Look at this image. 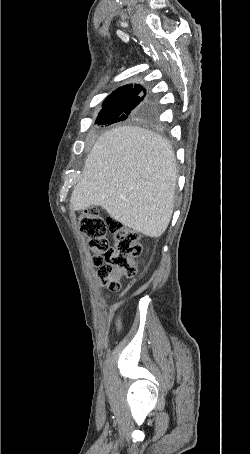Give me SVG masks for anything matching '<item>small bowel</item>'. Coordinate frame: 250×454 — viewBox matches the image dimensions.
<instances>
[{
	"mask_svg": "<svg viewBox=\"0 0 250 454\" xmlns=\"http://www.w3.org/2000/svg\"><path fill=\"white\" fill-rule=\"evenodd\" d=\"M116 326H117L118 329L121 328V320H120L119 316H117V318H116Z\"/></svg>",
	"mask_w": 250,
	"mask_h": 454,
	"instance_id": "c3829d8e",
	"label": "small bowel"
}]
</instances>
